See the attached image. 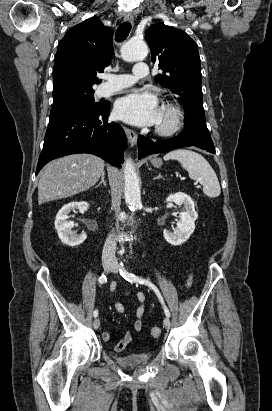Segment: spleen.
<instances>
[{
	"label": "spleen",
	"mask_w": 272,
	"mask_h": 411,
	"mask_svg": "<svg viewBox=\"0 0 272 411\" xmlns=\"http://www.w3.org/2000/svg\"><path fill=\"white\" fill-rule=\"evenodd\" d=\"M164 160L180 162L190 178L202 184L206 196L215 198L220 195L221 188L216 173L201 154L187 149H177L167 153Z\"/></svg>",
	"instance_id": "1"
}]
</instances>
